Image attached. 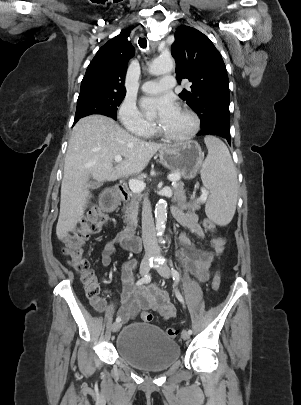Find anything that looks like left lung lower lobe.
Segmentation results:
<instances>
[{"label": "left lung lower lobe", "mask_w": 301, "mask_h": 405, "mask_svg": "<svg viewBox=\"0 0 301 405\" xmlns=\"http://www.w3.org/2000/svg\"><path fill=\"white\" fill-rule=\"evenodd\" d=\"M198 135H214V136H220L225 138L228 143L230 144V130H224V129H219V128H213L209 130H201Z\"/></svg>", "instance_id": "obj_1"}]
</instances>
